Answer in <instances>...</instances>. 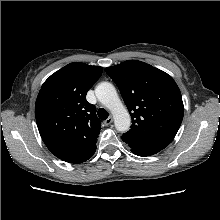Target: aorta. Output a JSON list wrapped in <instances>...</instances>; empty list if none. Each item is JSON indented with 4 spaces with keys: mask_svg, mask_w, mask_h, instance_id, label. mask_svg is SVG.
<instances>
[{
    "mask_svg": "<svg viewBox=\"0 0 220 220\" xmlns=\"http://www.w3.org/2000/svg\"><path fill=\"white\" fill-rule=\"evenodd\" d=\"M95 94L97 99L111 111L115 128L119 132L128 131L131 125V118L115 87L109 82H102L95 88Z\"/></svg>",
    "mask_w": 220,
    "mask_h": 220,
    "instance_id": "aorta-1",
    "label": "aorta"
}]
</instances>
